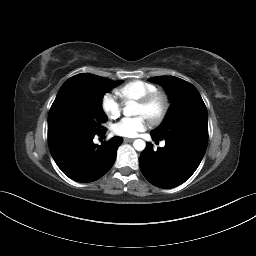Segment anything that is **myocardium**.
Listing matches in <instances>:
<instances>
[{
    "label": "myocardium",
    "instance_id": "myocardium-1",
    "mask_svg": "<svg viewBox=\"0 0 256 256\" xmlns=\"http://www.w3.org/2000/svg\"><path fill=\"white\" fill-rule=\"evenodd\" d=\"M137 102L139 105L145 108H151L155 103H160L161 107L159 111L156 114L149 115L147 117L153 124H159L161 121H163L170 109V100L168 96L159 90L147 94Z\"/></svg>",
    "mask_w": 256,
    "mask_h": 256
}]
</instances>
